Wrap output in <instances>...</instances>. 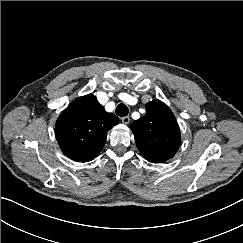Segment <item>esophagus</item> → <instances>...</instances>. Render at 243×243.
<instances>
[{
    "label": "esophagus",
    "mask_w": 243,
    "mask_h": 243,
    "mask_svg": "<svg viewBox=\"0 0 243 243\" xmlns=\"http://www.w3.org/2000/svg\"><path fill=\"white\" fill-rule=\"evenodd\" d=\"M121 120H122V123H124V124H129V122H130V117H129V116H124V117L121 118Z\"/></svg>",
    "instance_id": "obj_1"
}]
</instances>
